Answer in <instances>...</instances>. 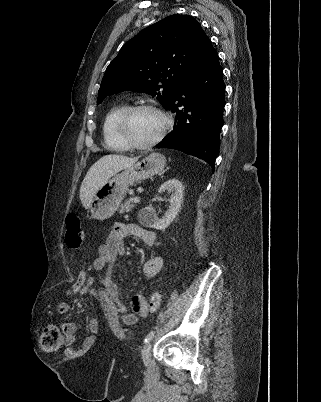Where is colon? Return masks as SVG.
<instances>
[{
	"mask_svg": "<svg viewBox=\"0 0 321 402\" xmlns=\"http://www.w3.org/2000/svg\"><path fill=\"white\" fill-rule=\"evenodd\" d=\"M66 234L65 243L68 248L74 251H80L84 245V231L82 229L81 218L76 213H70L65 218ZM86 271L83 270L81 274L76 276V280L71 285L69 293L72 296L77 294H84L86 283ZM161 293L154 292L147 304L146 301H139L132 307L135 312L139 314H145L148 310H156L160 306ZM63 344V336L60 330L55 325H48L40 337V349L44 352H54L61 348Z\"/></svg>",
	"mask_w": 321,
	"mask_h": 402,
	"instance_id": "obj_1",
	"label": "colon"
}]
</instances>
